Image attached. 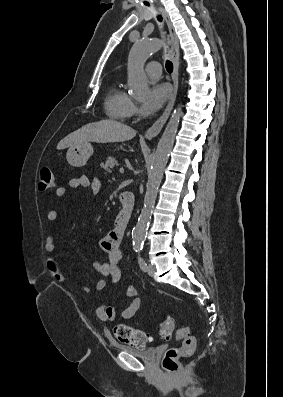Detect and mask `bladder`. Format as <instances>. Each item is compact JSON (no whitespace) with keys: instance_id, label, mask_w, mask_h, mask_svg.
<instances>
[{"instance_id":"31cf9c89","label":"bladder","mask_w":283,"mask_h":397,"mask_svg":"<svg viewBox=\"0 0 283 397\" xmlns=\"http://www.w3.org/2000/svg\"><path fill=\"white\" fill-rule=\"evenodd\" d=\"M116 347L118 349H120L121 351L127 352V353H131L137 357H140L142 359L145 360H153L158 352V348L157 347H148V348H136V347H132V346H128V345H122V344H118L116 345Z\"/></svg>"}]
</instances>
